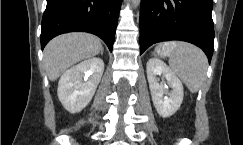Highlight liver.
Wrapping results in <instances>:
<instances>
[{"instance_id": "6515ba94", "label": "liver", "mask_w": 243, "mask_h": 145, "mask_svg": "<svg viewBox=\"0 0 243 145\" xmlns=\"http://www.w3.org/2000/svg\"><path fill=\"white\" fill-rule=\"evenodd\" d=\"M101 50L100 40L88 33H68L52 39L44 49L49 80H57L69 67L99 54Z\"/></svg>"}]
</instances>
